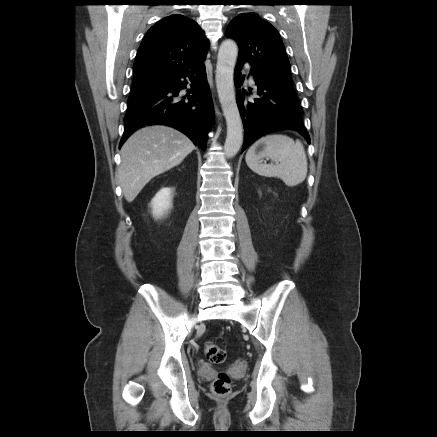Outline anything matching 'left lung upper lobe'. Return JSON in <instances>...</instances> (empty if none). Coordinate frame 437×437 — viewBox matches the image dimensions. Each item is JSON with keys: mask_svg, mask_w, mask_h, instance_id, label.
<instances>
[{"mask_svg": "<svg viewBox=\"0 0 437 437\" xmlns=\"http://www.w3.org/2000/svg\"><path fill=\"white\" fill-rule=\"evenodd\" d=\"M238 42V60L248 62L264 81L294 94L290 63L278 31L256 13H242L226 29Z\"/></svg>", "mask_w": 437, "mask_h": 437, "instance_id": "left-lung-upper-lobe-1", "label": "left lung upper lobe"}]
</instances>
